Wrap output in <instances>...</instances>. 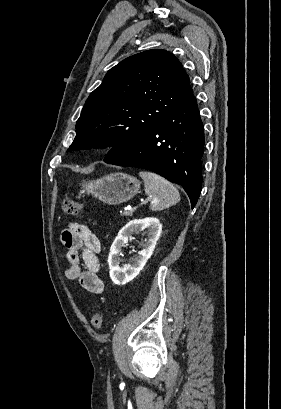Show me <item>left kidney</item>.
I'll return each mask as SVG.
<instances>
[{
	"instance_id": "5707ae66",
	"label": "left kidney",
	"mask_w": 281,
	"mask_h": 409,
	"mask_svg": "<svg viewBox=\"0 0 281 409\" xmlns=\"http://www.w3.org/2000/svg\"><path fill=\"white\" fill-rule=\"evenodd\" d=\"M148 229L145 235L148 239L143 245L142 251H139V257L134 259L133 265H127V267H119L120 265V251L122 247H125V243H128V237L131 233L136 231H144ZM162 225L155 217H146V219H133L129 221L125 227L120 229L115 241H113L110 247V253L108 257V265L110 269V277L115 285H126L132 279H135L145 267L148 259H150L155 245L161 235Z\"/></svg>"
}]
</instances>
